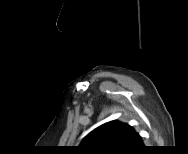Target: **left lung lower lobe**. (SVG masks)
<instances>
[{
  "mask_svg": "<svg viewBox=\"0 0 188 154\" xmlns=\"http://www.w3.org/2000/svg\"><path fill=\"white\" fill-rule=\"evenodd\" d=\"M142 146H143L142 139H141L140 135L138 133H136L133 143H132V146H131V149L142 147Z\"/></svg>",
  "mask_w": 188,
  "mask_h": 154,
  "instance_id": "0a47b994",
  "label": "left lung lower lobe"
}]
</instances>
